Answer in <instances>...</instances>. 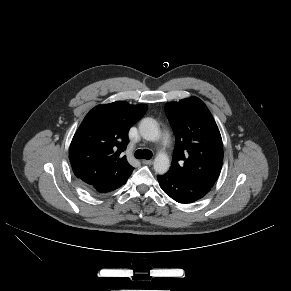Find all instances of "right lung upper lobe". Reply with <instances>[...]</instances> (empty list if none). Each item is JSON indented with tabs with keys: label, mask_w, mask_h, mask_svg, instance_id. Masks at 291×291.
<instances>
[{
	"label": "right lung upper lobe",
	"mask_w": 291,
	"mask_h": 291,
	"mask_svg": "<svg viewBox=\"0 0 291 291\" xmlns=\"http://www.w3.org/2000/svg\"><path fill=\"white\" fill-rule=\"evenodd\" d=\"M145 105L123 101L94 107L75 133L69 159L75 176L84 184L108 173L129 177L133 167L122 152L129 142L130 127L143 117Z\"/></svg>",
	"instance_id": "cb5924a9"
}]
</instances>
